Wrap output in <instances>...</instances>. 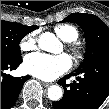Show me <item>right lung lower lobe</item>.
<instances>
[{
  "instance_id": "right-lung-lower-lobe-1",
  "label": "right lung lower lobe",
  "mask_w": 109,
  "mask_h": 109,
  "mask_svg": "<svg viewBox=\"0 0 109 109\" xmlns=\"http://www.w3.org/2000/svg\"><path fill=\"white\" fill-rule=\"evenodd\" d=\"M21 63V59L2 60L1 59V109H9L17 100L23 84L29 77H12L4 72L16 69Z\"/></svg>"
}]
</instances>
